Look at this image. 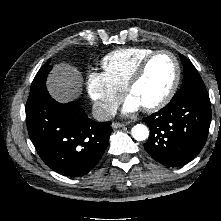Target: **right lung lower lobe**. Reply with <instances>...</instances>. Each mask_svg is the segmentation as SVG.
<instances>
[{
    "instance_id": "1",
    "label": "right lung lower lobe",
    "mask_w": 221,
    "mask_h": 221,
    "mask_svg": "<svg viewBox=\"0 0 221 221\" xmlns=\"http://www.w3.org/2000/svg\"><path fill=\"white\" fill-rule=\"evenodd\" d=\"M26 121L30 139L44 163L71 177L85 175L95 167L112 132L111 122L89 119L77 102H56L45 85L30 91Z\"/></svg>"
}]
</instances>
